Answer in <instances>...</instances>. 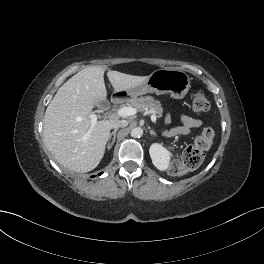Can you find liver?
Segmentation results:
<instances>
[{
	"instance_id": "liver-1",
	"label": "liver",
	"mask_w": 264,
	"mask_h": 264,
	"mask_svg": "<svg viewBox=\"0 0 264 264\" xmlns=\"http://www.w3.org/2000/svg\"><path fill=\"white\" fill-rule=\"evenodd\" d=\"M105 68H85L57 91L44 116V142L56 160L74 172L86 173L100 163L117 118L100 120L91 126L90 115L95 105L105 102ZM114 92L136 88L149 76H134L118 71L107 72Z\"/></svg>"
}]
</instances>
